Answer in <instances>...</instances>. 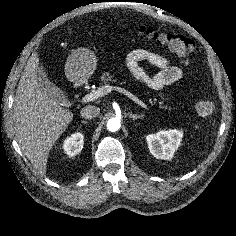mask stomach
<instances>
[{"label": "stomach", "instance_id": "1", "mask_svg": "<svg viewBox=\"0 0 236 236\" xmlns=\"http://www.w3.org/2000/svg\"><path fill=\"white\" fill-rule=\"evenodd\" d=\"M96 66L95 54L89 49L79 48L69 55L65 65V73L70 81L81 82L94 73Z\"/></svg>", "mask_w": 236, "mask_h": 236}]
</instances>
